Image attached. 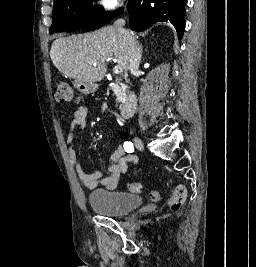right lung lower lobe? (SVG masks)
<instances>
[{
    "instance_id": "right-lung-lower-lobe-1",
    "label": "right lung lower lobe",
    "mask_w": 256,
    "mask_h": 267,
    "mask_svg": "<svg viewBox=\"0 0 256 267\" xmlns=\"http://www.w3.org/2000/svg\"><path fill=\"white\" fill-rule=\"evenodd\" d=\"M186 2L187 0H129L130 28L140 32L157 22H170L181 39L185 28Z\"/></svg>"
}]
</instances>
